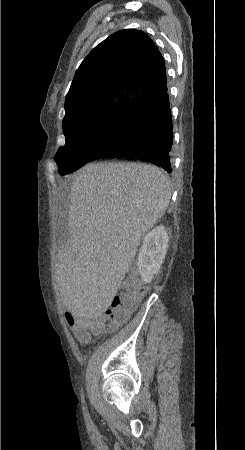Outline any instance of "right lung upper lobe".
Segmentation results:
<instances>
[{
  "instance_id": "1",
  "label": "right lung upper lobe",
  "mask_w": 245,
  "mask_h": 450,
  "mask_svg": "<svg viewBox=\"0 0 245 450\" xmlns=\"http://www.w3.org/2000/svg\"><path fill=\"white\" fill-rule=\"evenodd\" d=\"M164 60L142 31L109 36L83 60L65 99V117L87 106L114 103L139 110L166 89Z\"/></svg>"
}]
</instances>
